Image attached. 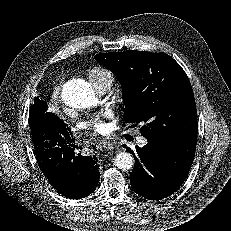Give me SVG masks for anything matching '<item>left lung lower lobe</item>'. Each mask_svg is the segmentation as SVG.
Listing matches in <instances>:
<instances>
[{
	"label": "left lung lower lobe",
	"mask_w": 231,
	"mask_h": 231,
	"mask_svg": "<svg viewBox=\"0 0 231 231\" xmlns=\"http://www.w3.org/2000/svg\"><path fill=\"white\" fill-rule=\"evenodd\" d=\"M144 147H136L135 166L130 175L132 189L139 195L160 200L170 196L185 181L193 163L196 139L169 144L147 138Z\"/></svg>",
	"instance_id": "left-lung-lower-lobe-1"
}]
</instances>
